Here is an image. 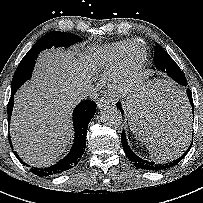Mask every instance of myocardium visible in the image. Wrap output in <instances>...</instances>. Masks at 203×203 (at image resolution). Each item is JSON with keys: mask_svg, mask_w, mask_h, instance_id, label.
I'll list each match as a JSON object with an SVG mask.
<instances>
[{"mask_svg": "<svg viewBox=\"0 0 203 203\" xmlns=\"http://www.w3.org/2000/svg\"><path fill=\"white\" fill-rule=\"evenodd\" d=\"M140 44L143 49L142 58L136 62L131 63L130 51L133 45ZM147 61V48L145 44L134 39L129 42L123 54V57L117 67L113 70L111 76V83L113 87L119 92H126L139 77Z\"/></svg>", "mask_w": 203, "mask_h": 203, "instance_id": "f54148a6", "label": "myocardium"}]
</instances>
